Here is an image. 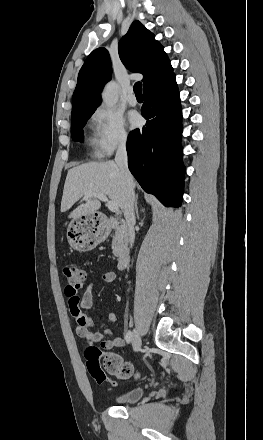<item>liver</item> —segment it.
I'll use <instances>...</instances> for the list:
<instances>
[{
  "label": "liver",
  "mask_w": 263,
  "mask_h": 440,
  "mask_svg": "<svg viewBox=\"0 0 263 440\" xmlns=\"http://www.w3.org/2000/svg\"><path fill=\"white\" fill-rule=\"evenodd\" d=\"M133 188L136 186L132 178ZM103 193L123 210V182L119 167L114 161L90 162L78 165L68 170L61 212L69 210L79 199L84 197L85 203L73 210L69 218L91 215L98 211L101 203L96 197L85 198V194Z\"/></svg>",
  "instance_id": "liver-1"
}]
</instances>
